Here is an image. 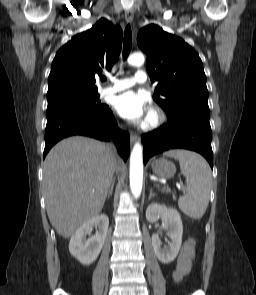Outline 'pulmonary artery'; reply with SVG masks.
<instances>
[{
  "mask_svg": "<svg viewBox=\"0 0 256 295\" xmlns=\"http://www.w3.org/2000/svg\"><path fill=\"white\" fill-rule=\"evenodd\" d=\"M146 81V72L143 70H138L133 77L115 80L112 85L102 88L101 93L104 95L114 94L126 90L135 84H144Z\"/></svg>",
  "mask_w": 256,
  "mask_h": 295,
  "instance_id": "pulmonary-artery-1",
  "label": "pulmonary artery"
}]
</instances>
